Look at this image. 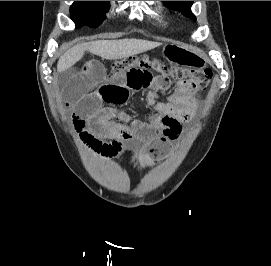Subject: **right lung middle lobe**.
Listing matches in <instances>:
<instances>
[{"label": "right lung middle lobe", "instance_id": "dd1d6c3e", "mask_svg": "<svg viewBox=\"0 0 271 266\" xmlns=\"http://www.w3.org/2000/svg\"><path fill=\"white\" fill-rule=\"evenodd\" d=\"M109 9L108 1H75L70 8L71 19L76 28L98 27Z\"/></svg>", "mask_w": 271, "mask_h": 266}]
</instances>
